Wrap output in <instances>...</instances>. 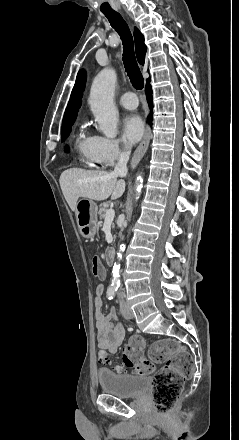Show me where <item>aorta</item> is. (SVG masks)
<instances>
[{
  "label": "aorta",
  "instance_id": "1",
  "mask_svg": "<svg viewBox=\"0 0 239 440\" xmlns=\"http://www.w3.org/2000/svg\"><path fill=\"white\" fill-rule=\"evenodd\" d=\"M117 82V74L113 68H104L96 78L93 80V84L90 90L89 104L91 110L96 118L99 126V130L103 132L106 138H116L117 136V124L119 120V112L114 106L113 98L115 92V86ZM141 176L136 178L135 198L138 200L141 190ZM125 250L124 244H121L119 252L117 254V262H115L112 270L113 286H120V260H122V254Z\"/></svg>",
  "mask_w": 239,
  "mask_h": 440
}]
</instances>
